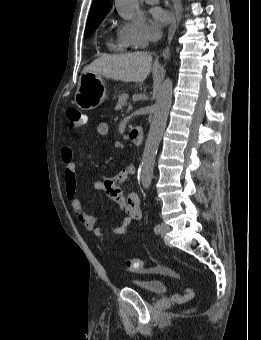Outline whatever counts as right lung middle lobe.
<instances>
[{"mask_svg":"<svg viewBox=\"0 0 261 340\" xmlns=\"http://www.w3.org/2000/svg\"><path fill=\"white\" fill-rule=\"evenodd\" d=\"M102 20L103 19H99L87 24L85 29V38H88L96 30Z\"/></svg>","mask_w":261,"mask_h":340,"instance_id":"right-lung-middle-lobe-1","label":"right lung middle lobe"}]
</instances>
